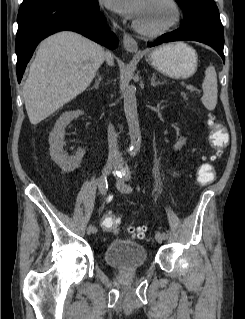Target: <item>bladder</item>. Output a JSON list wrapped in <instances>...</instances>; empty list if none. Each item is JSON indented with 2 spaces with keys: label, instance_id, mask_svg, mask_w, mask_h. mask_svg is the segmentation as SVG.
<instances>
[{
  "label": "bladder",
  "instance_id": "bladder-1",
  "mask_svg": "<svg viewBox=\"0 0 245 319\" xmlns=\"http://www.w3.org/2000/svg\"><path fill=\"white\" fill-rule=\"evenodd\" d=\"M105 262L118 268H135L144 265L147 260L146 248L136 241L114 239L104 251Z\"/></svg>",
  "mask_w": 245,
  "mask_h": 319
}]
</instances>
